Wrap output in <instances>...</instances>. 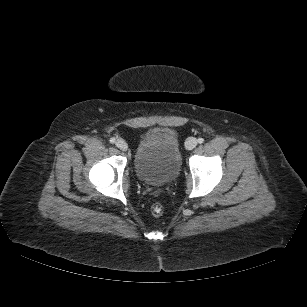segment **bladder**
Segmentation results:
<instances>
[{
	"mask_svg": "<svg viewBox=\"0 0 307 307\" xmlns=\"http://www.w3.org/2000/svg\"><path fill=\"white\" fill-rule=\"evenodd\" d=\"M133 166L144 183L163 186L173 181L181 169L176 133L169 128H153L139 140Z\"/></svg>",
	"mask_w": 307,
	"mask_h": 307,
	"instance_id": "bladder-1",
	"label": "bladder"
}]
</instances>
